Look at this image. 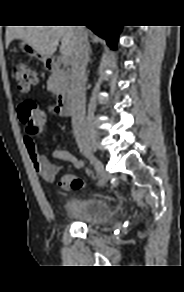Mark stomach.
<instances>
[{
    "label": "stomach",
    "instance_id": "stomach-1",
    "mask_svg": "<svg viewBox=\"0 0 184 292\" xmlns=\"http://www.w3.org/2000/svg\"><path fill=\"white\" fill-rule=\"evenodd\" d=\"M19 47L22 52L26 53L27 55L31 57L37 58L39 61L43 62L44 64L47 63L50 57L46 56L45 54L39 52L37 49L29 45L28 43L22 41L19 44Z\"/></svg>",
    "mask_w": 184,
    "mask_h": 292
}]
</instances>
